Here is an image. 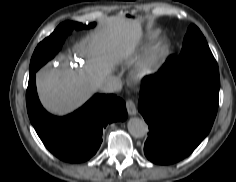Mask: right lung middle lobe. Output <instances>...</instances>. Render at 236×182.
Here are the masks:
<instances>
[{
  "label": "right lung middle lobe",
  "instance_id": "dd1d6c3e",
  "mask_svg": "<svg viewBox=\"0 0 236 182\" xmlns=\"http://www.w3.org/2000/svg\"><path fill=\"white\" fill-rule=\"evenodd\" d=\"M95 23L84 25L78 22L66 21L61 23L55 31L36 47L30 62V71H37L46 62L52 59L60 50L65 37L71 33L73 29L90 28Z\"/></svg>",
  "mask_w": 236,
  "mask_h": 182
}]
</instances>
